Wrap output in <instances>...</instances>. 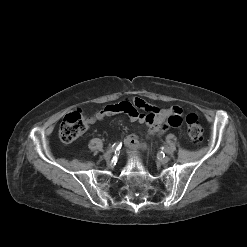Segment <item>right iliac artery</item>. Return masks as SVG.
Wrapping results in <instances>:
<instances>
[{
    "mask_svg": "<svg viewBox=\"0 0 247 247\" xmlns=\"http://www.w3.org/2000/svg\"><path fill=\"white\" fill-rule=\"evenodd\" d=\"M121 148V143H114L112 146L108 147V151L119 150Z\"/></svg>",
    "mask_w": 247,
    "mask_h": 247,
    "instance_id": "82829eb1",
    "label": "right iliac artery"
}]
</instances>
